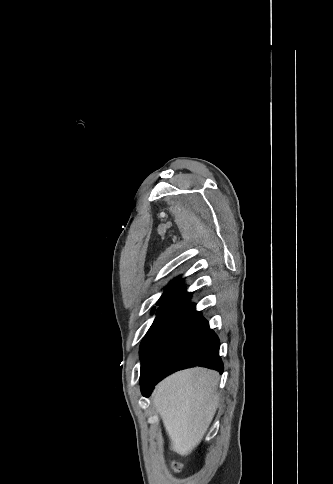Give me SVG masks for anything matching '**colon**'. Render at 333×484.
Wrapping results in <instances>:
<instances>
[{
	"instance_id": "obj_1",
	"label": "colon",
	"mask_w": 333,
	"mask_h": 484,
	"mask_svg": "<svg viewBox=\"0 0 333 484\" xmlns=\"http://www.w3.org/2000/svg\"><path fill=\"white\" fill-rule=\"evenodd\" d=\"M180 466L177 463H173V469L179 470Z\"/></svg>"
}]
</instances>
